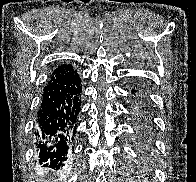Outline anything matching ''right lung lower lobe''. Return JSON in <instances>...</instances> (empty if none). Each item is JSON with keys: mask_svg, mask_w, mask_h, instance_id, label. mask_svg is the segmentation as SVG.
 <instances>
[{"mask_svg": "<svg viewBox=\"0 0 196 182\" xmlns=\"http://www.w3.org/2000/svg\"><path fill=\"white\" fill-rule=\"evenodd\" d=\"M70 64L58 66L44 87L37 112L36 145L40 164L58 170L66 160L81 105V80Z\"/></svg>", "mask_w": 196, "mask_h": 182, "instance_id": "98d812e1", "label": "right lung lower lobe"}]
</instances>
